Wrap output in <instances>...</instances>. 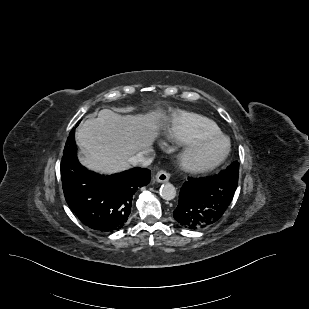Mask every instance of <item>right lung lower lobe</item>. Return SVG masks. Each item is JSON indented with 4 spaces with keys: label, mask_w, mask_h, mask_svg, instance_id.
I'll return each mask as SVG.
<instances>
[{
    "label": "right lung lower lobe",
    "mask_w": 309,
    "mask_h": 309,
    "mask_svg": "<svg viewBox=\"0 0 309 309\" xmlns=\"http://www.w3.org/2000/svg\"><path fill=\"white\" fill-rule=\"evenodd\" d=\"M74 138L75 128L67 138L61 161L65 199L87 227L99 232L118 231L128 220L134 193L150 182L151 172L134 168L104 176L89 171L77 159Z\"/></svg>",
    "instance_id": "obj_1"
}]
</instances>
